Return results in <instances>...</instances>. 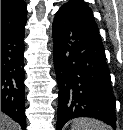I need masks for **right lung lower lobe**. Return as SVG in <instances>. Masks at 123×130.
Here are the masks:
<instances>
[{
	"mask_svg": "<svg viewBox=\"0 0 123 130\" xmlns=\"http://www.w3.org/2000/svg\"><path fill=\"white\" fill-rule=\"evenodd\" d=\"M25 24L1 28V110L26 128L24 88Z\"/></svg>",
	"mask_w": 123,
	"mask_h": 130,
	"instance_id": "obj_1",
	"label": "right lung lower lobe"
}]
</instances>
